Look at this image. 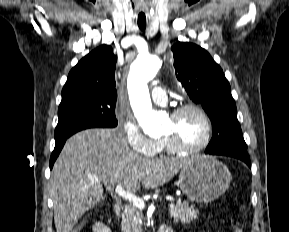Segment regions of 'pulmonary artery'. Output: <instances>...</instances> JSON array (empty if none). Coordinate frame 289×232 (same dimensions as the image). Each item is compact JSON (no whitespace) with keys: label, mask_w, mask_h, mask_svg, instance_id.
Wrapping results in <instances>:
<instances>
[{"label":"pulmonary artery","mask_w":289,"mask_h":232,"mask_svg":"<svg viewBox=\"0 0 289 232\" xmlns=\"http://www.w3.org/2000/svg\"><path fill=\"white\" fill-rule=\"evenodd\" d=\"M152 101L157 105H165L167 103L166 92L161 87H154L151 92Z\"/></svg>","instance_id":"1"}]
</instances>
